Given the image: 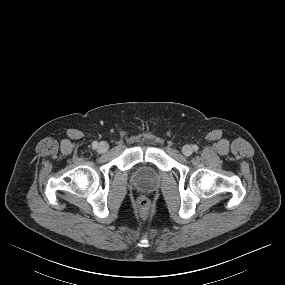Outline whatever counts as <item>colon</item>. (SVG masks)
Returning a JSON list of instances; mask_svg holds the SVG:
<instances>
[{
    "mask_svg": "<svg viewBox=\"0 0 285 285\" xmlns=\"http://www.w3.org/2000/svg\"><path fill=\"white\" fill-rule=\"evenodd\" d=\"M138 207L142 213H147L150 208V202L147 198L141 197L138 200Z\"/></svg>",
    "mask_w": 285,
    "mask_h": 285,
    "instance_id": "5ec220e1",
    "label": "colon"
}]
</instances>
